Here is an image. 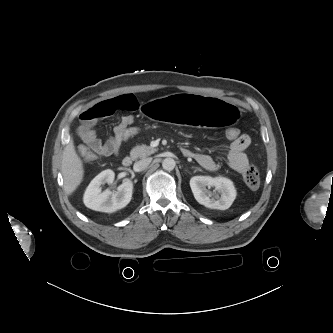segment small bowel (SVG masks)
Returning <instances> with one entry per match:
<instances>
[{
	"label": "small bowel",
	"instance_id": "c3829d8e",
	"mask_svg": "<svg viewBox=\"0 0 333 333\" xmlns=\"http://www.w3.org/2000/svg\"><path fill=\"white\" fill-rule=\"evenodd\" d=\"M139 104L134 95L125 94L110 99L100 101L93 106L84 109L79 114L81 125L78 128V134L84 145L79 150H91L98 156H111L119 153L122 139L118 130L126 125L134 123L132 114L124 115L114 128V133L106 142H102L94 133L95 124L116 112L127 111L134 112L138 109ZM250 145V137L242 134L240 138L232 141L228 151V164L238 173H244L248 167L249 160L246 150ZM203 168L209 171L217 169V164L210 155L203 153H193L192 156Z\"/></svg>",
	"mask_w": 333,
	"mask_h": 333
}]
</instances>
